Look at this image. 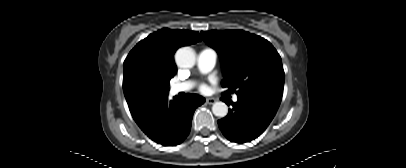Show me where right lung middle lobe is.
<instances>
[{
    "label": "right lung middle lobe",
    "mask_w": 406,
    "mask_h": 168,
    "mask_svg": "<svg viewBox=\"0 0 406 168\" xmlns=\"http://www.w3.org/2000/svg\"><path fill=\"white\" fill-rule=\"evenodd\" d=\"M169 92V83L166 84H155L147 83L143 87V96L148 103V105L155 104L160 100L166 98Z\"/></svg>",
    "instance_id": "1"
}]
</instances>
